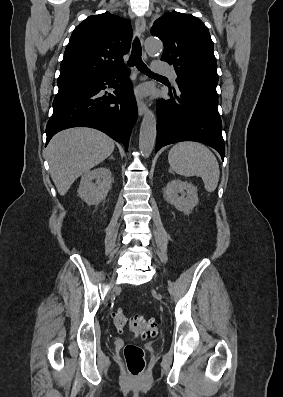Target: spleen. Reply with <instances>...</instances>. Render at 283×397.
<instances>
[{
  "mask_svg": "<svg viewBox=\"0 0 283 397\" xmlns=\"http://www.w3.org/2000/svg\"><path fill=\"white\" fill-rule=\"evenodd\" d=\"M170 168L181 176H199L207 192H214L219 181L220 170L215 155L198 142H180L169 151Z\"/></svg>",
  "mask_w": 283,
  "mask_h": 397,
  "instance_id": "spleen-1",
  "label": "spleen"
}]
</instances>
